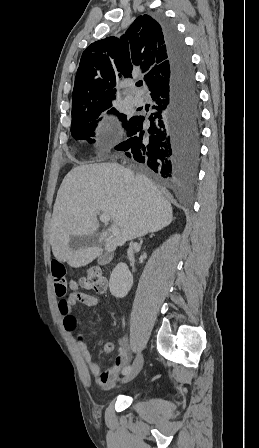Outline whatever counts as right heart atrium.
Returning a JSON list of instances; mask_svg holds the SVG:
<instances>
[{
    "label": "right heart atrium",
    "mask_w": 259,
    "mask_h": 448,
    "mask_svg": "<svg viewBox=\"0 0 259 448\" xmlns=\"http://www.w3.org/2000/svg\"><path fill=\"white\" fill-rule=\"evenodd\" d=\"M92 141L94 146L100 148H109L114 142V137L110 127L105 122H98L92 131Z\"/></svg>",
    "instance_id": "1"
}]
</instances>
